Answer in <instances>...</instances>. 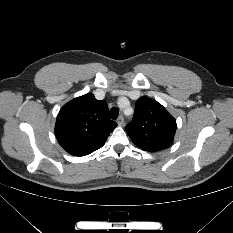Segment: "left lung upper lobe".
<instances>
[{"instance_id": "5c2ea615", "label": "left lung upper lobe", "mask_w": 233, "mask_h": 233, "mask_svg": "<svg viewBox=\"0 0 233 233\" xmlns=\"http://www.w3.org/2000/svg\"><path fill=\"white\" fill-rule=\"evenodd\" d=\"M135 145L149 152L168 148L176 132V121L156 100L141 97L136 102L135 116L126 126Z\"/></svg>"}]
</instances>
